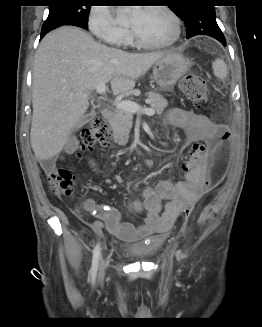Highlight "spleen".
Wrapping results in <instances>:
<instances>
[{
    "instance_id": "obj_1",
    "label": "spleen",
    "mask_w": 262,
    "mask_h": 327,
    "mask_svg": "<svg viewBox=\"0 0 262 327\" xmlns=\"http://www.w3.org/2000/svg\"><path fill=\"white\" fill-rule=\"evenodd\" d=\"M213 74L221 79L224 80L227 76V66L222 59H216L212 64Z\"/></svg>"
}]
</instances>
